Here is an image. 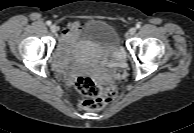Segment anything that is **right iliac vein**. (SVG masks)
Here are the masks:
<instances>
[{
	"mask_svg": "<svg viewBox=\"0 0 194 133\" xmlns=\"http://www.w3.org/2000/svg\"><path fill=\"white\" fill-rule=\"evenodd\" d=\"M50 30H51L52 33L55 34V33L58 31V27H57L56 25H52V26L50 27Z\"/></svg>",
	"mask_w": 194,
	"mask_h": 133,
	"instance_id": "right-iliac-vein-1",
	"label": "right iliac vein"
}]
</instances>
